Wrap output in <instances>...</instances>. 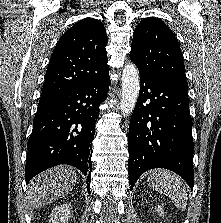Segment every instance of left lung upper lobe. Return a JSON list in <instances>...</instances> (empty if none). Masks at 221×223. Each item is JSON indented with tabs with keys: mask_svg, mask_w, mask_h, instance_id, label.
Returning <instances> with one entry per match:
<instances>
[{
	"mask_svg": "<svg viewBox=\"0 0 221 223\" xmlns=\"http://www.w3.org/2000/svg\"><path fill=\"white\" fill-rule=\"evenodd\" d=\"M130 59L151 78L188 88L179 42L165 23L155 17L137 25Z\"/></svg>",
	"mask_w": 221,
	"mask_h": 223,
	"instance_id": "left-lung-upper-lobe-1",
	"label": "left lung upper lobe"
}]
</instances>
